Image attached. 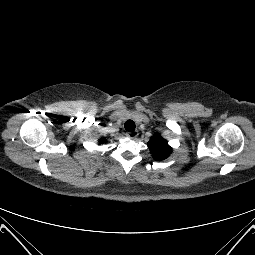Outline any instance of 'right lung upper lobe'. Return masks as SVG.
Instances as JSON below:
<instances>
[{
	"label": "right lung upper lobe",
	"mask_w": 255,
	"mask_h": 255,
	"mask_svg": "<svg viewBox=\"0 0 255 255\" xmlns=\"http://www.w3.org/2000/svg\"><path fill=\"white\" fill-rule=\"evenodd\" d=\"M99 142H100V143H105V142H107V140H106L105 138H101V139L99 140Z\"/></svg>",
	"instance_id": "1"
}]
</instances>
